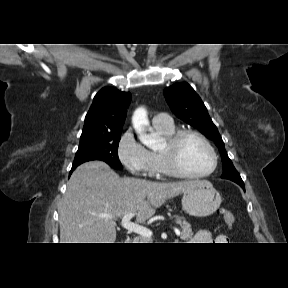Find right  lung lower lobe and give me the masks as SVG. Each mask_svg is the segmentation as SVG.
<instances>
[{
    "label": "right lung lower lobe",
    "mask_w": 288,
    "mask_h": 288,
    "mask_svg": "<svg viewBox=\"0 0 288 288\" xmlns=\"http://www.w3.org/2000/svg\"><path fill=\"white\" fill-rule=\"evenodd\" d=\"M76 167H72L71 171H70V175L73 172V170H75Z\"/></svg>",
    "instance_id": "right-lung-lower-lobe-1"
}]
</instances>
